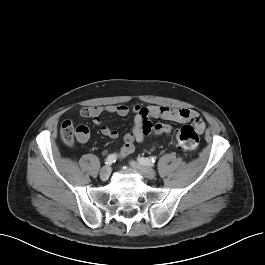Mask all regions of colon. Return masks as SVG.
<instances>
[{
    "instance_id": "obj_1",
    "label": "colon",
    "mask_w": 265,
    "mask_h": 265,
    "mask_svg": "<svg viewBox=\"0 0 265 265\" xmlns=\"http://www.w3.org/2000/svg\"><path fill=\"white\" fill-rule=\"evenodd\" d=\"M76 130L70 121H64L60 128V137L67 147H73L75 143ZM176 140L180 148L185 151H194L199 144L198 129L192 125H184L178 129Z\"/></svg>"
}]
</instances>
